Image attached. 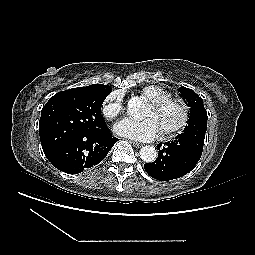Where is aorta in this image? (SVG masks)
I'll list each match as a JSON object with an SVG mask.
<instances>
[{
	"label": "aorta",
	"mask_w": 255,
	"mask_h": 255,
	"mask_svg": "<svg viewBox=\"0 0 255 255\" xmlns=\"http://www.w3.org/2000/svg\"><path fill=\"white\" fill-rule=\"evenodd\" d=\"M142 107V101L138 97H133L128 101L129 114L135 118L140 116V110ZM140 158L146 162H154L157 158V150L153 146H144L140 150Z\"/></svg>",
	"instance_id": "aorta-1"
}]
</instances>
